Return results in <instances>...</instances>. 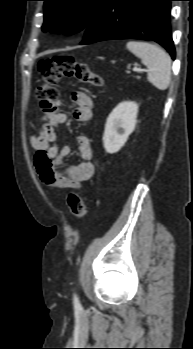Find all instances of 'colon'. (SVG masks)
<instances>
[{"label":"colon","instance_id":"5ec220e1","mask_svg":"<svg viewBox=\"0 0 193 349\" xmlns=\"http://www.w3.org/2000/svg\"><path fill=\"white\" fill-rule=\"evenodd\" d=\"M42 84L39 86L36 97L43 112L50 113L55 110V103L59 98L56 88L57 83L63 78H74L82 83L93 86H102V77L91 71L87 64L75 60L69 55H57L53 58L42 60L38 64ZM72 214L79 220L86 215V205L83 197L70 192L67 198Z\"/></svg>","mask_w":193,"mask_h":349}]
</instances>
